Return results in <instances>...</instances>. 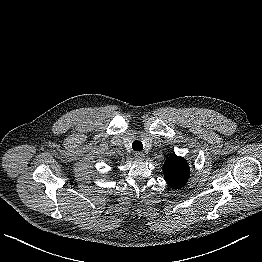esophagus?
Wrapping results in <instances>:
<instances>
[{"label":"esophagus","instance_id":"esophagus-1","mask_svg":"<svg viewBox=\"0 0 262 262\" xmlns=\"http://www.w3.org/2000/svg\"><path fill=\"white\" fill-rule=\"evenodd\" d=\"M134 156H135V159L139 161L143 160L145 157L142 152H135Z\"/></svg>","mask_w":262,"mask_h":262}]
</instances>
